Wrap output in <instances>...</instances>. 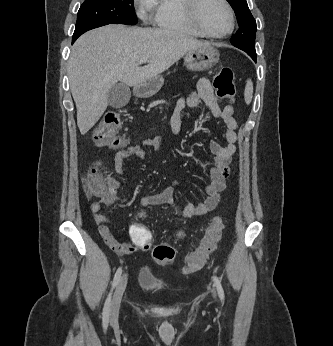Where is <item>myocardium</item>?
Wrapping results in <instances>:
<instances>
[{
	"label": "myocardium",
	"instance_id": "myocardium-1",
	"mask_svg": "<svg viewBox=\"0 0 333 346\" xmlns=\"http://www.w3.org/2000/svg\"><path fill=\"white\" fill-rule=\"evenodd\" d=\"M184 1V8L186 15L188 17L189 22L191 25L194 27V29L203 36L214 38V39H223L228 37L235 28V13L234 10L231 6V4L228 2V0H220L226 7L229 18H230V26L229 28L221 33V34H214L209 31H207L204 26L201 23L200 16H199V11L202 3L204 0H183Z\"/></svg>",
	"mask_w": 333,
	"mask_h": 346
}]
</instances>
